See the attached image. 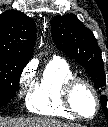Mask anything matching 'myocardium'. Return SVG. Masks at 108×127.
Listing matches in <instances>:
<instances>
[{
    "mask_svg": "<svg viewBox=\"0 0 108 127\" xmlns=\"http://www.w3.org/2000/svg\"><path fill=\"white\" fill-rule=\"evenodd\" d=\"M80 86L85 87L87 90H89L94 98L95 108H94V112L90 116H85L81 114L75 107L73 97H74L75 90ZM63 102L65 107L69 110V112H71L75 117L84 120H89L94 118L98 113L100 107L99 96L94 86L84 78L76 77V76L69 79L64 85Z\"/></svg>",
    "mask_w": 108,
    "mask_h": 127,
    "instance_id": "myocardium-1",
    "label": "myocardium"
}]
</instances>
